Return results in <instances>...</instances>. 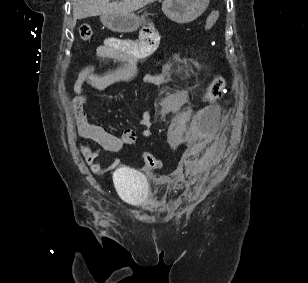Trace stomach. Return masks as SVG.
I'll use <instances>...</instances> for the list:
<instances>
[{"instance_id":"1","label":"stomach","mask_w":308,"mask_h":283,"mask_svg":"<svg viewBox=\"0 0 308 283\" xmlns=\"http://www.w3.org/2000/svg\"><path fill=\"white\" fill-rule=\"evenodd\" d=\"M209 0H164L162 10L172 21L189 23L197 19L208 7ZM102 23L114 32L129 33L136 31L144 21L134 13L121 15H102Z\"/></svg>"}]
</instances>
